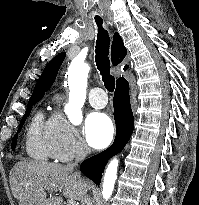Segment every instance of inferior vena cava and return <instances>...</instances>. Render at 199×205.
<instances>
[{
	"mask_svg": "<svg viewBox=\"0 0 199 205\" xmlns=\"http://www.w3.org/2000/svg\"><path fill=\"white\" fill-rule=\"evenodd\" d=\"M88 151H89V149H88L87 144L84 141H82L79 144V147L76 151L75 161L71 164H68L67 168L70 170H73L74 167L77 166L79 162H81L82 160L85 159V157L88 154ZM82 205H92V201L88 195L84 196V198L82 200Z\"/></svg>",
	"mask_w": 199,
	"mask_h": 205,
	"instance_id": "1",
	"label": "inferior vena cava"
}]
</instances>
